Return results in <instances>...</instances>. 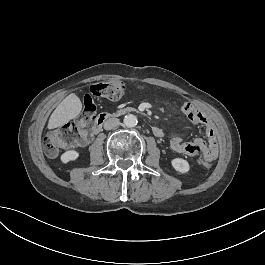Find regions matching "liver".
<instances>
[{
	"instance_id": "liver-1",
	"label": "liver",
	"mask_w": 265,
	"mask_h": 265,
	"mask_svg": "<svg viewBox=\"0 0 265 265\" xmlns=\"http://www.w3.org/2000/svg\"><path fill=\"white\" fill-rule=\"evenodd\" d=\"M82 102L80 98L71 93L65 97L55 108L49 117L47 129H55L75 119L82 111Z\"/></svg>"
}]
</instances>
